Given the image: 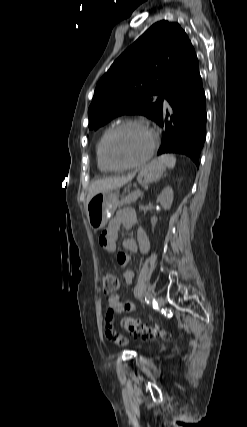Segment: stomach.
Segmentation results:
<instances>
[{
	"mask_svg": "<svg viewBox=\"0 0 247 427\" xmlns=\"http://www.w3.org/2000/svg\"><path fill=\"white\" fill-rule=\"evenodd\" d=\"M165 166L158 161L151 162L141 169L137 180L140 184H149L161 178L165 171ZM118 191L109 190L96 194L86 206V214L89 225L94 230L104 228L108 220L112 217L118 206Z\"/></svg>",
	"mask_w": 247,
	"mask_h": 427,
	"instance_id": "stomach-1",
	"label": "stomach"
}]
</instances>
